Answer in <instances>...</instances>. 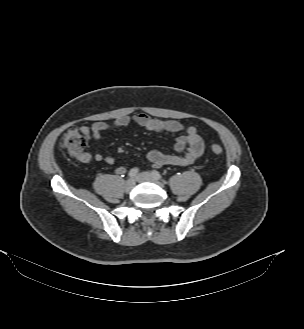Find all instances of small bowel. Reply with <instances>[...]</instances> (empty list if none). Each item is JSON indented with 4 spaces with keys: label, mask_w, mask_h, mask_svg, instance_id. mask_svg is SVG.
I'll return each instance as SVG.
<instances>
[{
    "label": "small bowel",
    "mask_w": 304,
    "mask_h": 329,
    "mask_svg": "<svg viewBox=\"0 0 304 329\" xmlns=\"http://www.w3.org/2000/svg\"><path fill=\"white\" fill-rule=\"evenodd\" d=\"M131 122L153 132L170 134L184 132V134L176 138L174 146L176 154H165L157 150H151L147 153V159L154 167H161L163 165L186 166L197 161L204 152L203 139L195 127L184 126L174 120L153 118L144 113H139L132 117L121 116L113 123L98 121L91 125L81 126L80 129L89 140H98L103 132L113 128L126 127ZM78 160L83 163L90 162L91 160L105 162L107 164H113L115 162L113 156H106L100 152H84ZM116 172L118 174H124L125 168L120 166L116 169Z\"/></svg>",
    "instance_id": "c3829d8e"
}]
</instances>
